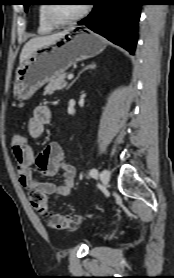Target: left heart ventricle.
I'll return each instance as SVG.
<instances>
[{
    "label": "left heart ventricle",
    "instance_id": "b2bd125f",
    "mask_svg": "<svg viewBox=\"0 0 174 278\" xmlns=\"http://www.w3.org/2000/svg\"><path fill=\"white\" fill-rule=\"evenodd\" d=\"M83 8V5H57L53 12L58 19H69L77 15Z\"/></svg>",
    "mask_w": 174,
    "mask_h": 278
}]
</instances>
